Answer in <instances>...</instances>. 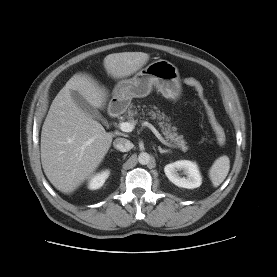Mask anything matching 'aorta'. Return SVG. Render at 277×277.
Here are the masks:
<instances>
[{
    "mask_svg": "<svg viewBox=\"0 0 277 277\" xmlns=\"http://www.w3.org/2000/svg\"><path fill=\"white\" fill-rule=\"evenodd\" d=\"M150 155L147 152H141L138 155V161L142 165H147L150 162Z\"/></svg>",
    "mask_w": 277,
    "mask_h": 277,
    "instance_id": "1",
    "label": "aorta"
}]
</instances>
